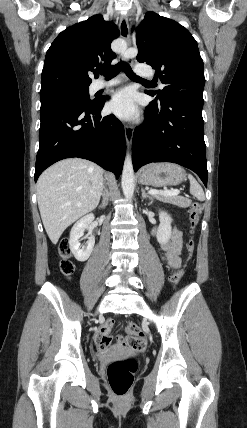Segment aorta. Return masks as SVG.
Returning <instances> with one entry per match:
<instances>
[{
    "label": "aorta",
    "mask_w": 247,
    "mask_h": 428,
    "mask_svg": "<svg viewBox=\"0 0 247 428\" xmlns=\"http://www.w3.org/2000/svg\"><path fill=\"white\" fill-rule=\"evenodd\" d=\"M119 52L124 59L133 58L137 55V51L134 49H128L126 45H123ZM134 169L132 159L129 154H126L123 171H122V190L126 199H131L134 193Z\"/></svg>",
    "instance_id": "1"
}]
</instances>
